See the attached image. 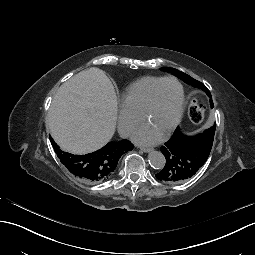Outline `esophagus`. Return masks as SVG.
<instances>
[{"label": "esophagus", "instance_id": "34e87169", "mask_svg": "<svg viewBox=\"0 0 255 255\" xmlns=\"http://www.w3.org/2000/svg\"><path fill=\"white\" fill-rule=\"evenodd\" d=\"M140 149L145 152V153H148V152H151L152 151V148H149V147H140Z\"/></svg>", "mask_w": 255, "mask_h": 255}]
</instances>
